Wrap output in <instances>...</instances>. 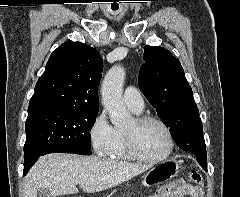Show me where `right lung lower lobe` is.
<instances>
[{"mask_svg": "<svg viewBox=\"0 0 240 197\" xmlns=\"http://www.w3.org/2000/svg\"><path fill=\"white\" fill-rule=\"evenodd\" d=\"M37 159L38 158L33 159V160L29 161L28 163H24V172H23L24 175L28 172V170L31 168V166L37 161Z\"/></svg>", "mask_w": 240, "mask_h": 197, "instance_id": "obj_1", "label": "right lung lower lobe"}]
</instances>
